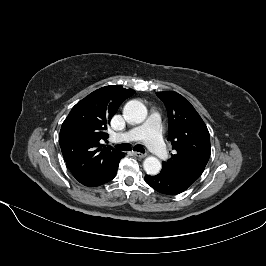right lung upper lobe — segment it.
Returning <instances> with one entry per match:
<instances>
[{
    "label": "right lung upper lobe",
    "mask_w": 266,
    "mask_h": 266,
    "mask_svg": "<svg viewBox=\"0 0 266 266\" xmlns=\"http://www.w3.org/2000/svg\"><path fill=\"white\" fill-rule=\"evenodd\" d=\"M135 93L119 85L102 87L78 102L60 130V147L73 176L82 184L108 172L124 153L103 146L120 104Z\"/></svg>",
    "instance_id": "right-lung-upper-lobe-1"
}]
</instances>
